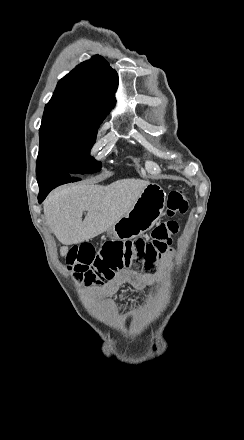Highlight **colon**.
Masks as SVG:
<instances>
[{"label": "colon", "instance_id": "5ec220e1", "mask_svg": "<svg viewBox=\"0 0 244 440\" xmlns=\"http://www.w3.org/2000/svg\"><path fill=\"white\" fill-rule=\"evenodd\" d=\"M189 208V200L182 189L171 190L166 200V215L174 217L184 215ZM179 225L174 221L163 222L151 232V238H139L127 241H107L96 249L90 245L70 248L67 271H73L77 279L92 274L95 284L110 280L115 273L135 269L152 272L158 256L168 247L170 235L178 231ZM77 260V262H76Z\"/></svg>", "mask_w": 244, "mask_h": 440}]
</instances>
